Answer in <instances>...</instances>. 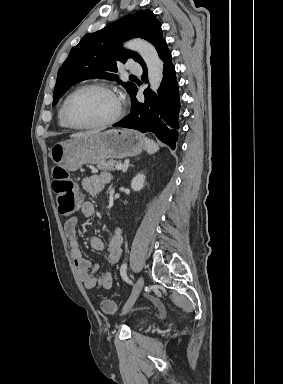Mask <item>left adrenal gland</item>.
I'll list each match as a JSON object with an SVG mask.
<instances>
[{"mask_svg": "<svg viewBox=\"0 0 283 384\" xmlns=\"http://www.w3.org/2000/svg\"><path fill=\"white\" fill-rule=\"evenodd\" d=\"M130 166H131V164H130ZM128 168H129V166H128ZM128 168H126V170H128Z\"/></svg>", "mask_w": 283, "mask_h": 384, "instance_id": "a2214340", "label": "left adrenal gland"}]
</instances>
